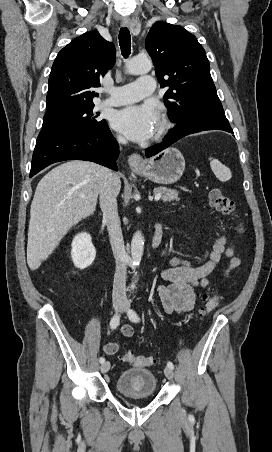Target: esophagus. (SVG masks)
<instances>
[{
  "mask_svg": "<svg viewBox=\"0 0 272 452\" xmlns=\"http://www.w3.org/2000/svg\"><path fill=\"white\" fill-rule=\"evenodd\" d=\"M123 27H128L130 25L129 18H123L121 21ZM128 163L131 168H137L143 165V159L138 153H133L128 158Z\"/></svg>",
  "mask_w": 272,
  "mask_h": 452,
  "instance_id": "1",
  "label": "esophagus"
}]
</instances>
